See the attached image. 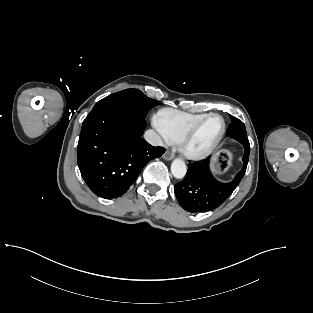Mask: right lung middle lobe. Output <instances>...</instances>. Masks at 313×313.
<instances>
[{"mask_svg":"<svg viewBox=\"0 0 313 313\" xmlns=\"http://www.w3.org/2000/svg\"><path fill=\"white\" fill-rule=\"evenodd\" d=\"M157 104V100L148 98L138 89H126L98 101L91 112L103 108H121L144 120L148 111Z\"/></svg>","mask_w":313,"mask_h":313,"instance_id":"dd1d6c3e","label":"right lung middle lobe"}]
</instances>
